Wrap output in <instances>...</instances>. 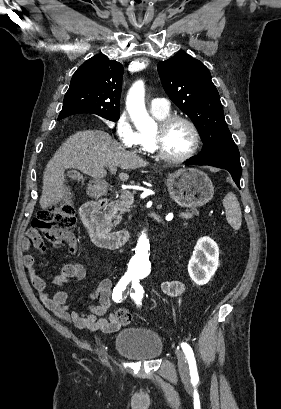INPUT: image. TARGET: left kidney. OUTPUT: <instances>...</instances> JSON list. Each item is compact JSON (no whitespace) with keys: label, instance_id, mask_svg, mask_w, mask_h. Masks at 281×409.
Segmentation results:
<instances>
[{"label":"left kidney","instance_id":"1","mask_svg":"<svg viewBox=\"0 0 281 409\" xmlns=\"http://www.w3.org/2000/svg\"><path fill=\"white\" fill-rule=\"evenodd\" d=\"M219 265V247L210 237H201L188 263V273L196 285H206Z\"/></svg>","mask_w":281,"mask_h":409}]
</instances>
